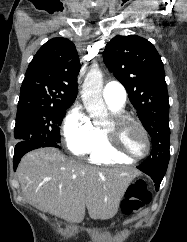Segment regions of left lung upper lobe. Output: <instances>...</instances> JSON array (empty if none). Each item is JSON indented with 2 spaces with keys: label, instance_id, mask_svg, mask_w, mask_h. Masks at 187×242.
<instances>
[{
  "label": "left lung upper lobe",
  "instance_id": "obj_1",
  "mask_svg": "<svg viewBox=\"0 0 187 242\" xmlns=\"http://www.w3.org/2000/svg\"><path fill=\"white\" fill-rule=\"evenodd\" d=\"M104 62L128 92L152 140L151 155L140 166L166 170L170 159L169 101L164 66L154 45L136 36H116L105 47Z\"/></svg>",
  "mask_w": 187,
  "mask_h": 242
}]
</instances>
